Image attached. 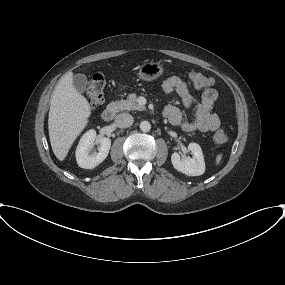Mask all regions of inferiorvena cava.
I'll return each mask as SVG.
<instances>
[{"label": "inferior vena cava", "instance_id": "inferior-vena-cava-1", "mask_svg": "<svg viewBox=\"0 0 285 285\" xmlns=\"http://www.w3.org/2000/svg\"><path fill=\"white\" fill-rule=\"evenodd\" d=\"M114 122L119 128H128L132 126L134 118L129 113H120L115 117Z\"/></svg>", "mask_w": 285, "mask_h": 285}]
</instances>
